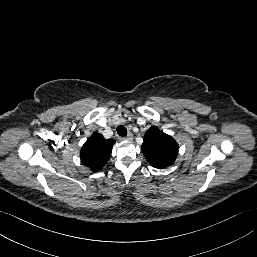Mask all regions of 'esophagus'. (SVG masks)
<instances>
[{"mask_svg": "<svg viewBox=\"0 0 257 257\" xmlns=\"http://www.w3.org/2000/svg\"><path fill=\"white\" fill-rule=\"evenodd\" d=\"M123 139L127 140V141H132L133 140V135L130 133L126 137H124Z\"/></svg>", "mask_w": 257, "mask_h": 257, "instance_id": "1", "label": "esophagus"}]
</instances>
